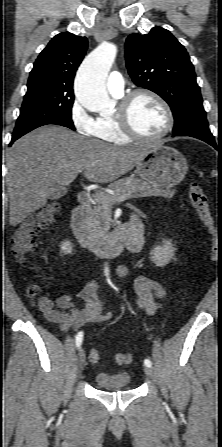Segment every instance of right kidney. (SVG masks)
Here are the masks:
<instances>
[{"label":"right kidney","instance_id":"1","mask_svg":"<svg viewBox=\"0 0 222 447\" xmlns=\"http://www.w3.org/2000/svg\"><path fill=\"white\" fill-rule=\"evenodd\" d=\"M72 250H73L72 243L70 241L62 242V244H61V251H62V253H64V254H71Z\"/></svg>","mask_w":222,"mask_h":447}]
</instances>
